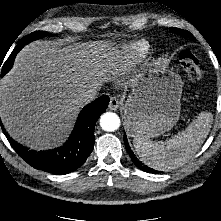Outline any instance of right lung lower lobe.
<instances>
[{
	"instance_id": "right-lung-lower-lobe-1",
	"label": "right lung lower lobe",
	"mask_w": 221,
	"mask_h": 221,
	"mask_svg": "<svg viewBox=\"0 0 221 221\" xmlns=\"http://www.w3.org/2000/svg\"><path fill=\"white\" fill-rule=\"evenodd\" d=\"M27 44L25 38L16 46L3 67L2 76L12 67L14 58L20 49ZM109 103L108 96L97 98L86 105L80 112L75 127L67 142L58 148L39 151L29 150L16 143L4 132L14 150L32 167L54 174H67L81 167L94 147V128L99 116L105 112ZM1 123V122H0ZM2 129L4 130L3 126Z\"/></svg>"
}]
</instances>
